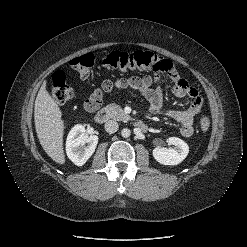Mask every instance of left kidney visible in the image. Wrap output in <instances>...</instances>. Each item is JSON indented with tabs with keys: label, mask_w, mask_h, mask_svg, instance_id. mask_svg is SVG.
Listing matches in <instances>:
<instances>
[{
	"label": "left kidney",
	"mask_w": 247,
	"mask_h": 247,
	"mask_svg": "<svg viewBox=\"0 0 247 247\" xmlns=\"http://www.w3.org/2000/svg\"><path fill=\"white\" fill-rule=\"evenodd\" d=\"M167 143L173 145V148L156 147L152 152L154 159L163 165H177L181 163L189 153L187 143L178 137H169Z\"/></svg>",
	"instance_id": "left-kidney-1"
}]
</instances>
